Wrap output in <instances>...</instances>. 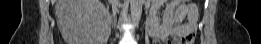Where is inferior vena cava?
I'll return each mask as SVG.
<instances>
[{"label":"inferior vena cava","instance_id":"inferior-vena-cava-1","mask_svg":"<svg viewBox=\"0 0 261 44\" xmlns=\"http://www.w3.org/2000/svg\"><path fill=\"white\" fill-rule=\"evenodd\" d=\"M117 12V9H114V13H116Z\"/></svg>","mask_w":261,"mask_h":44}]
</instances>
